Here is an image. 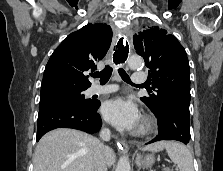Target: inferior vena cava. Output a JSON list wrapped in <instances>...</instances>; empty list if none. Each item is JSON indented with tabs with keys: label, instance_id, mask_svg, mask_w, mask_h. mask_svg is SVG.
I'll return each mask as SVG.
<instances>
[{
	"label": "inferior vena cava",
	"instance_id": "obj_1",
	"mask_svg": "<svg viewBox=\"0 0 223 171\" xmlns=\"http://www.w3.org/2000/svg\"><path fill=\"white\" fill-rule=\"evenodd\" d=\"M111 137V132L109 129L104 128L100 131V138L103 141H109ZM106 146L102 142H98L97 148L94 155V162L92 166V171H107V164L105 159Z\"/></svg>",
	"mask_w": 223,
	"mask_h": 171
}]
</instances>
